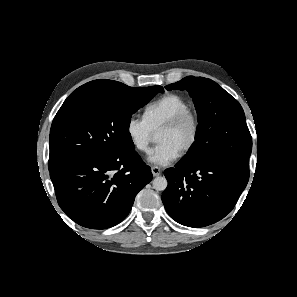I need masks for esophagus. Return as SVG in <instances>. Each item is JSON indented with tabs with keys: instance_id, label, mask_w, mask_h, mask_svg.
Returning <instances> with one entry per match:
<instances>
[{
	"instance_id": "obj_1",
	"label": "esophagus",
	"mask_w": 297,
	"mask_h": 297,
	"mask_svg": "<svg viewBox=\"0 0 297 297\" xmlns=\"http://www.w3.org/2000/svg\"><path fill=\"white\" fill-rule=\"evenodd\" d=\"M151 171H152L153 176H155V177L159 176L161 174V169L156 166L152 167Z\"/></svg>"
}]
</instances>
